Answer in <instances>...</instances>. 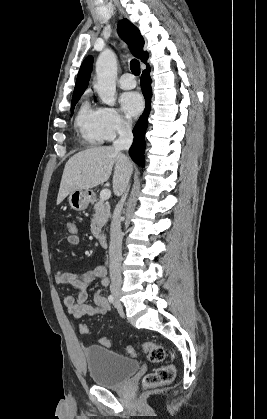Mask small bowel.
Here are the masks:
<instances>
[{
    "label": "small bowel",
    "mask_w": 267,
    "mask_h": 419,
    "mask_svg": "<svg viewBox=\"0 0 267 419\" xmlns=\"http://www.w3.org/2000/svg\"><path fill=\"white\" fill-rule=\"evenodd\" d=\"M54 279L57 284L71 285L77 290L75 295H66L63 299L64 306L74 318L105 315L110 310L108 300L101 291L94 294V305L86 303L88 286L93 281L99 279L103 287L109 284L108 272L104 266L99 265L81 273L56 270Z\"/></svg>",
    "instance_id": "1"
}]
</instances>
